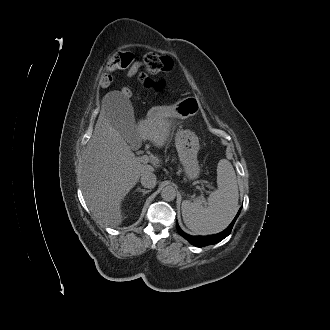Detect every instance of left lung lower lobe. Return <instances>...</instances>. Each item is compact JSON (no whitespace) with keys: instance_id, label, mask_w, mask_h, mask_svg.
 <instances>
[{"instance_id":"obj_1","label":"left lung lower lobe","mask_w":330,"mask_h":330,"mask_svg":"<svg viewBox=\"0 0 330 330\" xmlns=\"http://www.w3.org/2000/svg\"><path fill=\"white\" fill-rule=\"evenodd\" d=\"M241 210V208H240ZM240 210L238 211L237 215L235 216L234 220L231 222V224L222 232L218 233V234H215V235H209V236H190L186 233H184L178 223L176 222V226H177V230L179 232V234L181 236H183L185 239H187L191 244H193L194 246H197V247H203V246H207V245H211V244H215V243H218L220 242L221 240H223L224 238H226L232 228H233V225L240 213Z\"/></svg>"}]
</instances>
